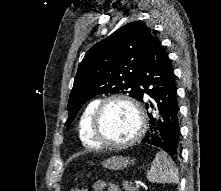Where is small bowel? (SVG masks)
<instances>
[{
    "instance_id": "c3829d8e",
    "label": "small bowel",
    "mask_w": 221,
    "mask_h": 191,
    "mask_svg": "<svg viewBox=\"0 0 221 191\" xmlns=\"http://www.w3.org/2000/svg\"><path fill=\"white\" fill-rule=\"evenodd\" d=\"M94 191H121V189L115 185L108 183L104 180H98L93 185Z\"/></svg>"
}]
</instances>
